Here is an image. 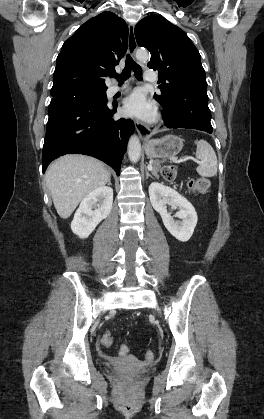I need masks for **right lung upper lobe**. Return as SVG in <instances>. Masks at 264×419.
Returning a JSON list of instances; mask_svg holds the SVG:
<instances>
[{"mask_svg":"<svg viewBox=\"0 0 264 419\" xmlns=\"http://www.w3.org/2000/svg\"><path fill=\"white\" fill-rule=\"evenodd\" d=\"M128 26L112 12L91 18L65 41L56 60L51 96L66 91L106 90L105 77L125 55Z\"/></svg>","mask_w":264,"mask_h":419,"instance_id":"cb5924a9","label":"right lung upper lobe"}]
</instances>
